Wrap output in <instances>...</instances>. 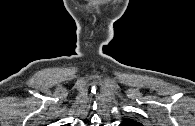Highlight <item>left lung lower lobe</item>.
Listing matches in <instances>:
<instances>
[{
	"label": "left lung lower lobe",
	"instance_id": "obj_1",
	"mask_svg": "<svg viewBox=\"0 0 195 126\" xmlns=\"http://www.w3.org/2000/svg\"><path fill=\"white\" fill-rule=\"evenodd\" d=\"M119 126H129V125L126 122H123Z\"/></svg>",
	"mask_w": 195,
	"mask_h": 126
}]
</instances>
